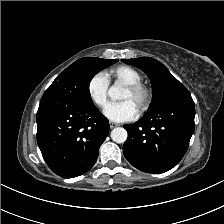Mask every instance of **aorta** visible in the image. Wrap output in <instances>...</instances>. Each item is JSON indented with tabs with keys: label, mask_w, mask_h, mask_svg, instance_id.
<instances>
[{
	"label": "aorta",
	"mask_w": 224,
	"mask_h": 224,
	"mask_svg": "<svg viewBox=\"0 0 224 224\" xmlns=\"http://www.w3.org/2000/svg\"><path fill=\"white\" fill-rule=\"evenodd\" d=\"M123 89L118 84L112 85L108 90V95L113 100L122 99ZM128 134L123 127H116L111 131V139L116 143H124L127 140Z\"/></svg>",
	"instance_id": "obj_1"
}]
</instances>
